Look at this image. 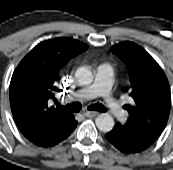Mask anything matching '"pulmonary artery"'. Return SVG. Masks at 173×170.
Instances as JSON below:
<instances>
[{"label": "pulmonary artery", "instance_id": "e3ab8cb5", "mask_svg": "<svg viewBox=\"0 0 173 170\" xmlns=\"http://www.w3.org/2000/svg\"><path fill=\"white\" fill-rule=\"evenodd\" d=\"M114 73L110 67L100 66L97 69L94 82L74 93V97L79 101H86L96 97H102L107 108L117 120H124L125 110L121 107L118 100L112 95V83Z\"/></svg>", "mask_w": 173, "mask_h": 170}]
</instances>
